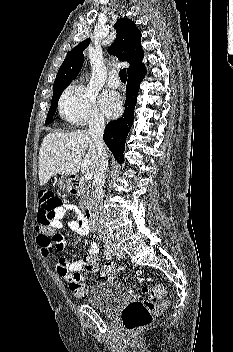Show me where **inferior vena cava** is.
I'll return each instance as SVG.
<instances>
[{
  "instance_id": "1",
  "label": "inferior vena cava",
  "mask_w": 233,
  "mask_h": 352,
  "mask_svg": "<svg viewBox=\"0 0 233 352\" xmlns=\"http://www.w3.org/2000/svg\"><path fill=\"white\" fill-rule=\"evenodd\" d=\"M105 129L104 118L100 114H94L89 122V134L97 148V163L93 174L92 196L94 202L93 221L98 226L99 236L103 242L111 244V236L105 229V216L102 210L103 186L108 167L106 149L103 142V132Z\"/></svg>"
}]
</instances>
